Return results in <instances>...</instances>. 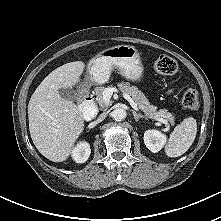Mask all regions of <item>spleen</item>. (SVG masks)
I'll return each mask as SVG.
<instances>
[{"label": "spleen", "mask_w": 221, "mask_h": 221, "mask_svg": "<svg viewBox=\"0 0 221 221\" xmlns=\"http://www.w3.org/2000/svg\"><path fill=\"white\" fill-rule=\"evenodd\" d=\"M197 134V122L193 117L185 118L177 125L165 146L168 157H178L184 154L193 144Z\"/></svg>", "instance_id": "3e777b00"}]
</instances>
